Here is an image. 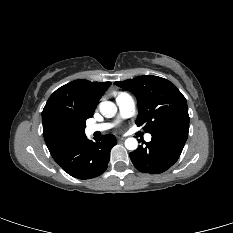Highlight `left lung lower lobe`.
Returning a JSON list of instances; mask_svg holds the SVG:
<instances>
[{"label": "left lung lower lobe", "mask_w": 233, "mask_h": 233, "mask_svg": "<svg viewBox=\"0 0 233 233\" xmlns=\"http://www.w3.org/2000/svg\"><path fill=\"white\" fill-rule=\"evenodd\" d=\"M186 129H176L152 135V140L131 152L134 166L141 172L159 174L169 169L180 157L188 137Z\"/></svg>", "instance_id": "left-lung-lower-lobe-1"}]
</instances>
